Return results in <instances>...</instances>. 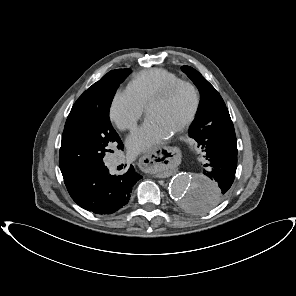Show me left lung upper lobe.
Here are the masks:
<instances>
[{"mask_svg": "<svg viewBox=\"0 0 296 296\" xmlns=\"http://www.w3.org/2000/svg\"><path fill=\"white\" fill-rule=\"evenodd\" d=\"M181 69L193 81L201 95L198 111L189 127V136L197 141L199 147L201 130L227 109L220 94L198 71L190 66H182Z\"/></svg>", "mask_w": 296, "mask_h": 296, "instance_id": "5c2ea615", "label": "left lung upper lobe"}]
</instances>
